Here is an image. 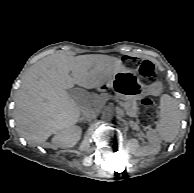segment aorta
<instances>
[{
  "label": "aorta",
  "mask_w": 194,
  "mask_h": 193,
  "mask_svg": "<svg viewBox=\"0 0 194 193\" xmlns=\"http://www.w3.org/2000/svg\"><path fill=\"white\" fill-rule=\"evenodd\" d=\"M116 115H117V112L114 109H107L104 112V118H106V119H112Z\"/></svg>",
  "instance_id": "obj_1"
}]
</instances>
